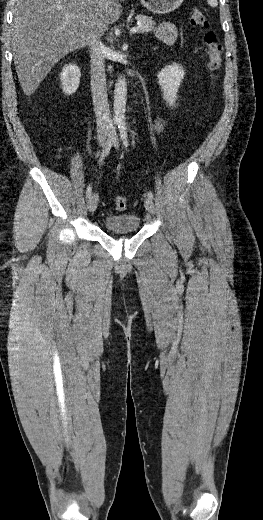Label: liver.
<instances>
[{
    "mask_svg": "<svg viewBox=\"0 0 263 520\" xmlns=\"http://www.w3.org/2000/svg\"><path fill=\"white\" fill-rule=\"evenodd\" d=\"M119 1L15 0L11 43L24 94L32 95L62 57L115 23L122 14Z\"/></svg>",
    "mask_w": 263,
    "mask_h": 520,
    "instance_id": "1",
    "label": "liver"
}]
</instances>
